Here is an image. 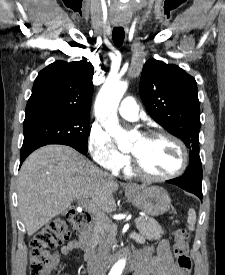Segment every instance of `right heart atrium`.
Segmentation results:
<instances>
[{
    "label": "right heart atrium",
    "instance_id": "obj_1",
    "mask_svg": "<svg viewBox=\"0 0 225 275\" xmlns=\"http://www.w3.org/2000/svg\"><path fill=\"white\" fill-rule=\"evenodd\" d=\"M88 148L92 158L101 168L120 171L126 169L130 163L129 156L120 152L108 132L97 125L92 126L90 130Z\"/></svg>",
    "mask_w": 225,
    "mask_h": 275
}]
</instances>
